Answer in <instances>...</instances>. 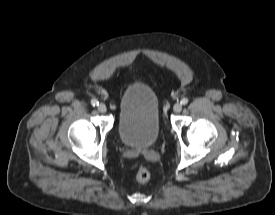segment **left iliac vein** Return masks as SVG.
Segmentation results:
<instances>
[{
    "label": "left iliac vein",
    "instance_id": "obj_1",
    "mask_svg": "<svg viewBox=\"0 0 275 215\" xmlns=\"http://www.w3.org/2000/svg\"><path fill=\"white\" fill-rule=\"evenodd\" d=\"M174 112L179 113L182 110V104L176 103L173 107Z\"/></svg>",
    "mask_w": 275,
    "mask_h": 215
}]
</instances>
